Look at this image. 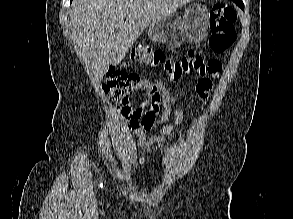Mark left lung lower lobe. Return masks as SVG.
<instances>
[{"label": "left lung lower lobe", "mask_w": 293, "mask_h": 219, "mask_svg": "<svg viewBox=\"0 0 293 219\" xmlns=\"http://www.w3.org/2000/svg\"><path fill=\"white\" fill-rule=\"evenodd\" d=\"M240 8L244 9V4L243 2H240V3H236Z\"/></svg>", "instance_id": "obj_1"}]
</instances>
